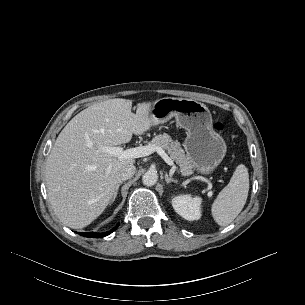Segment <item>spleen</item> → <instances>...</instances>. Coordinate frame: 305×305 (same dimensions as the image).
<instances>
[{"label": "spleen", "instance_id": "3e777b00", "mask_svg": "<svg viewBox=\"0 0 305 305\" xmlns=\"http://www.w3.org/2000/svg\"><path fill=\"white\" fill-rule=\"evenodd\" d=\"M249 192V174L245 165L237 166L229 184L224 187L211 207L215 222L229 225L242 211Z\"/></svg>", "mask_w": 305, "mask_h": 305}]
</instances>
